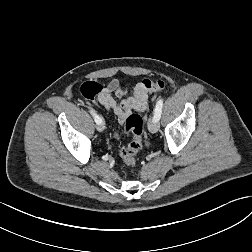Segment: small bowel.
<instances>
[{"mask_svg": "<svg viewBox=\"0 0 252 252\" xmlns=\"http://www.w3.org/2000/svg\"><path fill=\"white\" fill-rule=\"evenodd\" d=\"M98 102L110 111L119 124H124L128 116L135 112H143L147 104V90L142 83L122 89L117 79H112L104 87Z\"/></svg>", "mask_w": 252, "mask_h": 252, "instance_id": "c3829d8e", "label": "small bowel"}]
</instances>
